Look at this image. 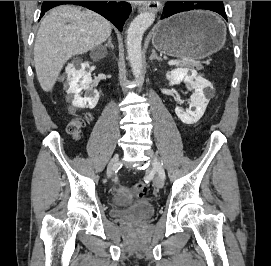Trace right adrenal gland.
<instances>
[{"label":"right adrenal gland","instance_id":"right-adrenal-gland-1","mask_svg":"<svg viewBox=\"0 0 271 266\" xmlns=\"http://www.w3.org/2000/svg\"><path fill=\"white\" fill-rule=\"evenodd\" d=\"M104 46L114 49V45L112 44V38L111 37H109L108 42Z\"/></svg>","mask_w":271,"mask_h":266}]
</instances>
